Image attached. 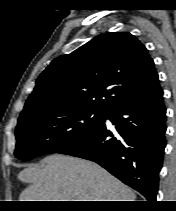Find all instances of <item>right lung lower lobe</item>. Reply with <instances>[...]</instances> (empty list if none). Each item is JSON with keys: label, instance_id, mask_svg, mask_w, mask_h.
<instances>
[{"label": "right lung lower lobe", "instance_id": "98d812e1", "mask_svg": "<svg viewBox=\"0 0 176 211\" xmlns=\"http://www.w3.org/2000/svg\"><path fill=\"white\" fill-rule=\"evenodd\" d=\"M109 119L114 130L106 127ZM105 120L73 145L58 151L92 160L155 201L166 146V108L158 86L149 95L106 113Z\"/></svg>", "mask_w": 176, "mask_h": 211}]
</instances>
